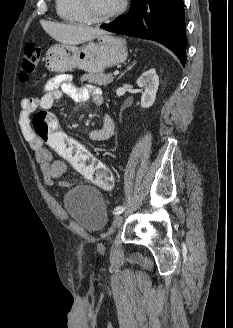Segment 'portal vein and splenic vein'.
I'll return each mask as SVG.
<instances>
[{
	"label": "portal vein and splenic vein",
	"mask_w": 233,
	"mask_h": 328,
	"mask_svg": "<svg viewBox=\"0 0 233 328\" xmlns=\"http://www.w3.org/2000/svg\"><path fill=\"white\" fill-rule=\"evenodd\" d=\"M118 74H119V71H115V72L113 73L114 76H116V75H118Z\"/></svg>",
	"instance_id": "1"
}]
</instances>
